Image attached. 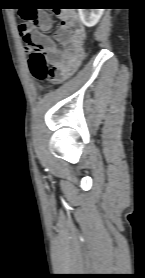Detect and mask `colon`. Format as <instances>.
Listing matches in <instances>:
<instances>
[{
	"label": "colon",
	"instance_id": "colon-1",
	"mask_svg": "<svg viewBox=\"0 0 145 278\" xmlns=\"http://www.w3.org/2000/svg\"><path fill=\"white\" fill-rule=\"evenodd\" d=\"M22 17L25 20H32L36 17V14L30 10H25L22 13ZM21 38L23 43L28 49H30L29 55V67L32 77L37 81H43L50 76V68L47 63L45 55L39 49L34 37L26 32H21ZM71 72L57 80L58 83L65 81Z\"/></svg>",
	"mask_w": 145,
	"mask_h": 278
}]
</instances>
